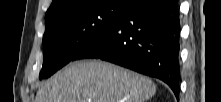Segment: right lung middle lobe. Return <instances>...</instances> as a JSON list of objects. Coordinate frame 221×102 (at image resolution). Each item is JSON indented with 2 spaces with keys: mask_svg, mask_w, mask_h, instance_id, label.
Here are the masks:
<instances>
[{
  "mask_svg": "<svg viewBox=\"0 0 221 102\" xmlns=\"http://www.w3.org/2000/svg\"><path fill=\"white\" fill-rule=\"evenodd\" d=\"M132 5L130 0H84L46 19L44 62L39 78H48L73 61L82 49L115 25Z\"/></svg>",
  "mask_w": 221,
  "mask_h": 102,
  "instance_id": "right-lung-middle-lobe-1",
  "label": "right lung middle lobe"
}]
</instances>
